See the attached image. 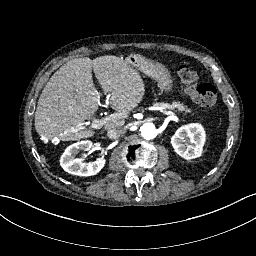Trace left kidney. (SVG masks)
<instances>
[{
  "instance_id": "1",
  "label": "left kidney",
  "mask_w": 256,
  "mask_h": 256,
  "mask_svg": "<svg viewBox=\"0 0 256 256\" xmlns=\"http://www.w3.org/2000/svg\"><path fill=\"white\" fill-rule=\"evenodd\" d=\"M206 140V133L199 123L181 126L171 138L175 152L186 160L200 157Z\"/></svg>"
}]
</instances>
